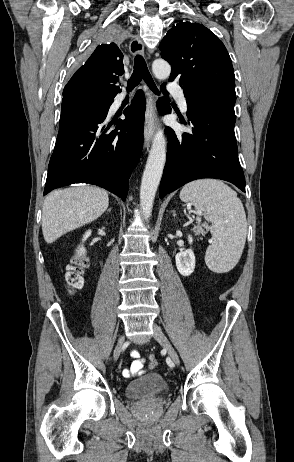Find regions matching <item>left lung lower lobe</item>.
<instances>
[{
    "instance_id": "obj_1",
    "label": "left lung lower lobe",
    "mask_w": 294,
    "mask_h": 462,
    "mask_svg": "<svg viewBox=\"0 0 294 462\" xmlns=\"http://www.w3.org/2000/svg\"><path fill=\"white\" fill-rule=\"evenodd\" d=\"M162 92L168 95L165 87ZM187 116L193 134L175 133L169 127L167 162L160 183L159 197L187 182L201 178L226 180L245 192V177L235 141L234 104L228 96L205 93L186 98ZM161 114H169L168 100L157 103Z\"/></svg>"
}]
</instances>
